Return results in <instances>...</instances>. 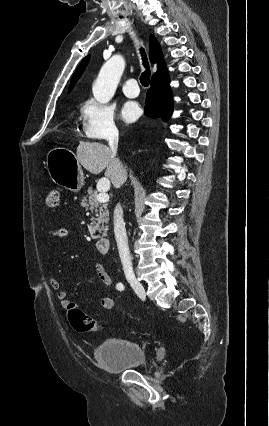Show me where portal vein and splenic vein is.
<instances>
[{"label": "portal vein and splenic vein", "mask_w": 269, "mask_h": 426, "mask_svg": "<svg viewBox=\"0 0 269 426\" xmlns=\"http://www.w3.org/2000/svg\"><path fill=\"white\" fill-rule=\"evenodd\" d=\"M109 189V185L107 186V187H105L104 189H103V191H101L98 195H97V197H96V200H97V202H100V203H106V202H108L109 201V195L107 194V190Z\"/></svg>", "instance_id": "1"}]
</instances>
